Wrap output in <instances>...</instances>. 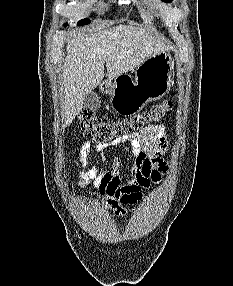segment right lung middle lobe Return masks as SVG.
<instances>
[{
	"label": "right lung middle lobe",
	"mask_w": 233,
	"mask_h": 286,
	"mask_svg": "<svg viewBox=\"0 0 233 286\" xmlns=\"http://www.w3.org/2000/svg\"><path fill=\"white\" fill-rule=\"evenodd\" d=\"M90 23V20L89 19H87V18H85V19H83V20H80L79 22H78V25H84V24H89ZM67 25V24H66Z\"/></svg>",
	"instance_id": "obj_1"
}]
</instances>
